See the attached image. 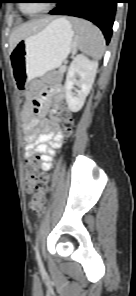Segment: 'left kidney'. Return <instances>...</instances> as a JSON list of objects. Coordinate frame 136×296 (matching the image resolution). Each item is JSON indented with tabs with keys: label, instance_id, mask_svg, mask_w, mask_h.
<instances>
[{
	"label": "left kidney",
	"instance_id": "left-kidney-1",
	"mask_svg": "<svg viewBox=\"0 0 136 296\" xmlns=\"http://www.w3.org/2000/svg\"><path fill=\"white\" fill-rule=\"evenodd\" d=\"M97 68L98 62L89 60L83 54L76 55L71 62L65 81V98L72 112L76 113L83 107L94 83ZM74 86L78 87L76 94L73 93Z\"/></svg>",
	"mask_w": 136,
	"mask_h": 296
}]
</instances>
